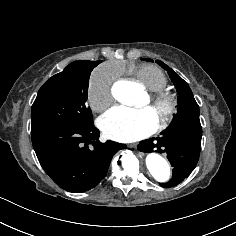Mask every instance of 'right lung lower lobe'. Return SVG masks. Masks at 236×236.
Wrapping results in <instances>:
<instances>
[{
    "label": "right lung lower lobe",
    "mask_w": 236,
    "mask_h": 236,
    "mask_svg": "<svg viewBox=\"0 0 236 236\" xmlns=\"http://www.w3.org/2000/svg\"><path fill=\"white\" fill-rule=\"evenodd\" d=\"M31 137L45 172L61 188L76 193L95 187L106 176L113 155L126 148L110 140L101 143L93 121L31 130Z\"/></svg>",
    "instance_id": "98d812e1"
}]
</instances>
